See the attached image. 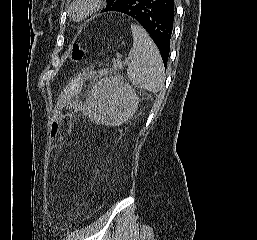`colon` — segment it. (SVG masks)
<instances>
[{
  "mask_svg": "<svg viewBox=\"0 0 257 240\" xmlns=\"http://www.w3.org/2000/svg\"><path fill=\"white\" fill-rule=\"evenodd\" d=\"M83 57V49L80 45L74 44L70 51V59L73 62H78ZM62 127V118L61 113L58 109H55L52 114L51 118V124H50V130H49V136L52 139H56L60 132Z\"/></svg>",
  "mask_w": 257,
  "mask_h": 240,
  "instance_id": "5ec220e1",
  "label": "colon"
}]
</instances>
